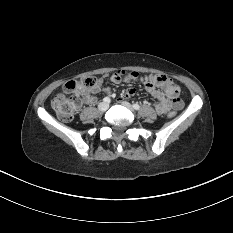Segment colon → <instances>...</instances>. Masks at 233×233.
<instances>
[{
    "label": "colon",
    "mask_w": 233,
    "mask_h": 233,
    "mask_svg": "<svg viewBox=\"0 0 233 233\" xmlns=\"http://www.w3.org/2000/svg\"><path fill=\"white\" fill-rule=\"evenodd\" d=\"M121 76L137 79L138 73L125 71L118 72ZM97 80L93 77H87L80 81H69L64 85L66 93H73V95L57 94L52 99V108L56 112L59 119L68 122L71 121L75 114L81 107V95H85L87 92L92 91L96 86ZM176 112L172 111L169 113V117H174Z\"/></svg>",
    "instance_id": "1"
}]
</instances>
